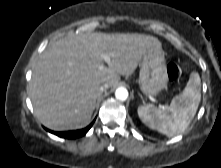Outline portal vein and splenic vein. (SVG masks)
I'll return each mask as SVG.
<instances>
[{
  "mask_svg": "<svg viewBox=\"0 0 221 168\" xmlns=\"http://www.w3.org/2000/svg\"><path fill=\"white\" fill-rule=\"evenodd\" d=\"M102 58L105 60V62L107 63V64H110V61H111V58H110V54H103L102 55ZM99 69H104V66L103 65H100L99 66Z\"/></svg>",
  "mask_w": 221,
  "mask_h": 168,
  "instance_id": "18ae733b",
  "label": "portal vein and splenic vein"
}]
</instances>
